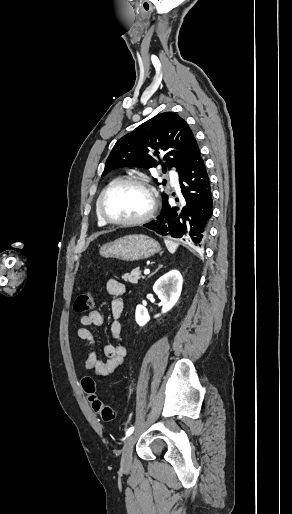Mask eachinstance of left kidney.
<instances>
[{"label":"left kidney","instance_id":"5707ae66","mask_svg":"<svg viewBox=\"0 0 292 514\" xmlns=\"http://www.w3.org/2000/svg\"><path fill=\"white\" fill-rule=\"evenodd\" d=\"M183 278L178 270H171L168 274L161 276L153 286L155 294H157L162 304V314L169 312L176 302H178L182 290ZM157 314L155 318H158ZM135 320L139 326H145L150 320L147 308L145 306H137L135 312Z\"/></svg>","mask_w":292,"mask_h":514}]
</instances>
